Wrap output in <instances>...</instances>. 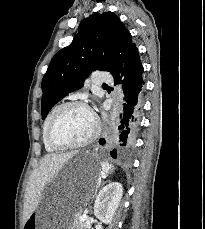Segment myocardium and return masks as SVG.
I'll use <instances>...</instances> for the list:
<instances>
[{
    "label": "myocardium",
    "mask_w": 205,
    "mask_h": 229,
    "mask_svg": "<svg viewBox=\"0 0 205 229\" xmlns=\"http://www.w3.org/2000/svg\"><path fill=\"white\" fill-rule=\"evenodd\" d=\"M70 107H82L88 110L93 117L94 127L90 135L86 137L85 139L79 142H76V143L60 144L55 141L53 137V130H54V127L58 119L62 115V113ZM99 131H100V121H99L98 116L84 102L79 101V100H73V101H68V102L63 103L55 111L49 123L48 129H47V141L53 148L57 150L79 148V147H83L91 143L97 137Z\"/></svg>",
    "instance_id": "f54148a6"
}]
</instances>
